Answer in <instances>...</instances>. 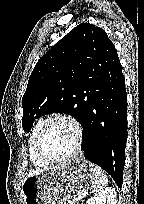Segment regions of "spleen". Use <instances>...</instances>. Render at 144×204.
Returning a JSON list of instances; mask_svg holds the SVG:
<instances>
[{
  "mask_svg": "<svg viewBox=\"0 0 144 204\" xmlns=\"http://www.w3.org/2000/svg\"><path fill=\"white\" fill-rule=\"evenodd\" d=\"M108 179L105 172L97 165L93 166V177L91 183L92 193L99 194L103 191Z\"/></svg>",
  "mask_w": 144,
  "mask_h": 204,
  "instance_id": "1",
  "label": "spleen"
}]
</instances>
